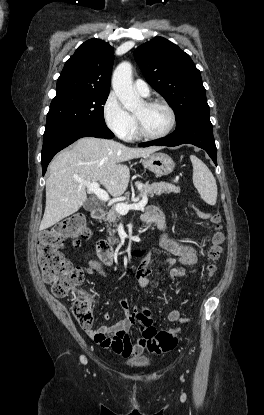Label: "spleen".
I'll return each mask as SVG.
<instances>
[{
  "label": "spleen",
  "instance_id": "3e777b00",
  "mask_svg": "<svg viewBox=\"0 0 264 415\" xmlns=\"http://www.w3.org/2000/svg\"><path fill=\"white\" fill-rule=\"evenodd\" d=\"M193 166V184L200 197L209 205H215L217 200L216 180L209 168L196 156L191 155Z\"/></svg>",
  "mask_w": 264,
  "mask_h": 415
}]
</instances>
